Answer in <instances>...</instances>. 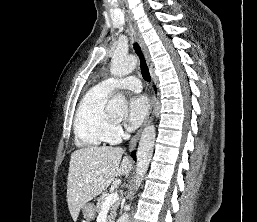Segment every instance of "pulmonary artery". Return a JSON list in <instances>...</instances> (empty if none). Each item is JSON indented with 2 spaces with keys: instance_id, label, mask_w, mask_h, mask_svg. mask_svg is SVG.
<instances>
[{
  "instance_id": "1",
  "label": "pulmonary artery",
  "mask_w": 257,
  "mask_h": 222,
  "mask_svg": "<svg viewBox=\"0 0 257 222\" xmlns=\"http://www.w3.org/2000/svg\"><path fill=\"white\" fill-rule=\"evenodd\" d=\"M99 86L109 93L116 89H128L136 92L142 90L140 80L133 76L124 77L121 79L108 78L100 82Z\"/></svg>"
}]
</instances>
